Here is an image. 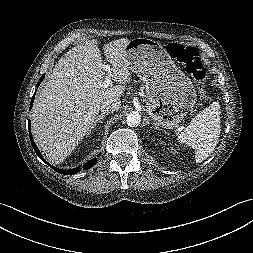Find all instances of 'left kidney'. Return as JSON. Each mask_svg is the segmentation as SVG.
Here are the masks:
<instances>
[{"label": "left kidney", "instance_id": "left-kidney-1", "mask_svg": "<svg viewBox=\"0 0 253 253\" xmlns=\"http://www.w3.org/2000/svg\"><path fill=\"white\" fill-rule=\"evenodd\" d=\"M170 150H171V152H175V150H174V148H173V147H171V148H170Z\"/></svg>", "mask_w": 253, "mask_h": 253}]
</instances>
